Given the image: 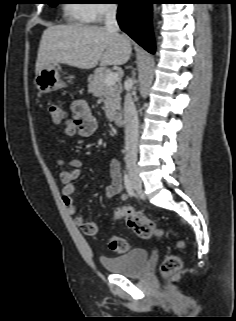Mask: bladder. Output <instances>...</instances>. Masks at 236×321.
I'll list each match as a JSON object with an SVG mask.
<instances>
[{
	"mask_svg": "<svg viewBox=\"0 0 236 321\" xmlns=\"http://www.w3.org/2000/svg\"><path fill=\"white\" fill-rule=\"evenodd\" d=\"M148 258L146 249L136 248L119 256L101 257L100 261L103 267L112 273L136 276L144 270Z\"/></svg>",
	"mask_w": 236,
	"mask_h": 321,
	"instance_id": "obj_1",
	"label": "bladder"
}]
</instances>
